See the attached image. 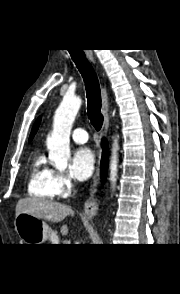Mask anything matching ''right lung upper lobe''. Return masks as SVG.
<instances>
[{
	"instance_id": "right-lung-upper-lobe-1",
	"label": "right lung upper lobe",
	"mask_w": 180,
	"mask_h": 294,
	"mask_svg": "<svg viewBox=\"0 0 180 294\" xmlns=\"http://www.w3.org/2000/svg\"><path fill=\"white\" fill-rule=\"evenodd\" d=\"M40 121H41V118L39 117L33 126V129H32L31 135H30V139H29L30 141L34 137V135L39 127Z\"/></svg>"
}]
</instances>
